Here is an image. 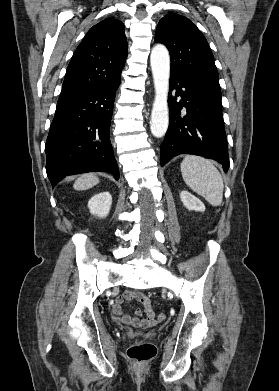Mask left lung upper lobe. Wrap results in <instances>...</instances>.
Here are the masks:
<instances>
[{"mask_svg":"<svg viewBox=\"0 0 279 391\" xmlns=\"http://www.w3.org/2000/svg\"><path fill=\"white\" fill-rule=\"evenodd\" d=\"M155 41L169 50L171 74L221 97L213 54L206 38L191 20L176 13L167 14L158 23Z\"/></svg>","mask_w":279,"mask_h":391,"instance_id":"1","label":"left lung upper lobe"}]
</instances>
